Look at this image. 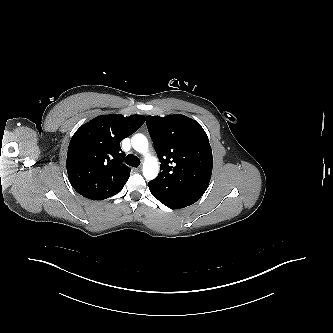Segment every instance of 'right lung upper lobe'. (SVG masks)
Wrapping results in <instances>:
<instances>
[{"mask_svg":"<svg viewBox=\"0 0 333 333\" xmlns=\"http://www.w3.org/2000/svg\"><path fill=\"white\" fill-rule=\"evenodd\" d=\"M144 122L142 115H101L75 132L68 147L67 173L79 194L104 200L122 190L130 168L123 164L120 142Z\"/></svg>","mask_w":333,"mask_h":333,"instance_id":"right-lung-upper-lobe-1","label":"right lung upper lobe"}]
</instances>
